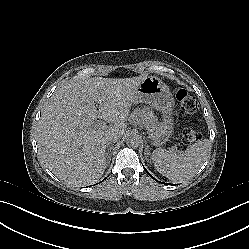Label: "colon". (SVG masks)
Returning <instances> with one entry per match:
<instances>
[{"mask_svg": "<svg viewBox=\"0 0 249 249\" xmlns=\"http://www.w3.org/2000/svg\"><path fill=\"white\" fill-rule=\"evenodd\" d=\"M175 96L180 109L185 115L191 116L198 111L199 105L197 100L186 89L178 88ZM184 137L186 141L194 142L198 140L199 132L194 129H187Z\"/></svg>", "mask_w": 249, "mask_h": 249, "instance_id": "5ec220e1", "label": "colon"}]
</instances>
